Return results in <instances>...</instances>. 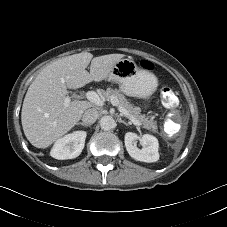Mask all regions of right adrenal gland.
<instances>
[{"label":"right adrenal gland","mask_w":227,"mask_h":227,"mask_svg":"<svg viewBox=\"0 0 227 227\" xmlns=\"http://www.w3.org/2000/svg\"><path fill=\"white\" fill-rule=\"evenodd\" d=\"M77 125H82V126H85V127L90 126V125L85 124V123H83V122H79V123H77Z\"/></svg>","instance_id":"right-adrenal-gland-1"}]
</instances>
